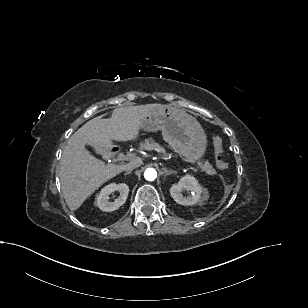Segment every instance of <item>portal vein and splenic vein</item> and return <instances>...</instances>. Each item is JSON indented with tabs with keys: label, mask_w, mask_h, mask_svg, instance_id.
I'll use <instances>...</instances> for the list:
<instances>
[{
	"label": "portal vein and splenic vein",
	"mask_w": 308,
	"mask_h": 308,
	"mask_svg": "<svg viewBox=\"0 0 308 308\" xmlns=\"http://www.w3.org/2000/svg\"><path fill=\"white\" fill-rule=\"evenodd\" d=\"M123 159H131V160L135 161V160H137V157L130 154V155L123 156ZM192 169L196 172L198 171V168H196V167H192Z\"/></svg>",
	"instance_id": "portal-vein-and-splenic-vein-1"
}]
</instances>
